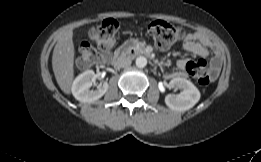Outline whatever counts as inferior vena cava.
<instances>
[{"label":"inferior vena cava","instance_id":"obj_1","mask_svg":"<svg viewBox=\"0 0 261 162\" xmlns=\"http://www.w3.org/2000/svg\"><path fill=\"white\" fill-rule=\"evenodd\" d=\"M115 65L119 68H128L131 65V60L129 58H119Z\"/></svg>","mask_w":261,"mask_h":162}]
</instances>
